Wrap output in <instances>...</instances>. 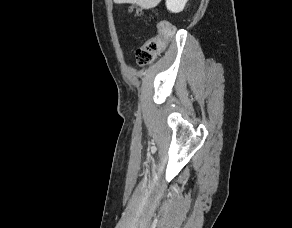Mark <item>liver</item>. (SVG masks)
<instances>
[{
  "label": "liver",
  "mask_w": 292,
  "mask_h": 228,
  "mask_svg": "<svg viewBox=\"0 0 292 228\" xmlns=\"http://www.w3.org/2000/svg\"><path fill=\"white\" fill-rule=\"evenodd\" d=\"M115 3L122 4V3H129V4H136L145 9H151L156 7L161 0H114Z\"/></svg>",
  "instance_id": "liver-1"
}]
</instances>
